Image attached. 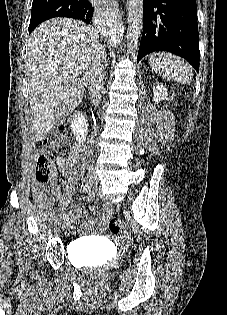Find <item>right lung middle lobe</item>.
Returning a JSON list of instances; mask_svg holds the SVG:
<instances>
[{
	"label": "right lung middle lobe",
	"instance_id": "right-lung-middle-lobe-1",
	"mask_svg": "<svg viewBox=\"0 0 227 315\" xmlns=\"http://www.w3.org/2000/svg\"><path fill=\"white\" fill-rule=\"evenodd\" d=\"M79 0H33L29 33L45 20L62 17L63 10Z\"/></svg>",
	"mask_w": 227,
	"mask_h": 315
}]
</instances>
